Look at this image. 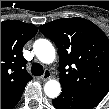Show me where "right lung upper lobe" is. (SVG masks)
<instances>
[{
	"label": "right lung upper lobe",
	"mask_w": 109,
	"mask_h": 109,
	"mask_svg": "<svg viewBox=\"0 0 109 109\" xmlns=\"http://www.w3.org/2000/svg\"><path fill=\"white\" fill-rule=\"evenodd\" d=\"M37 31L36 26L18 20L1 22V100L31 80L22 49Z\"/></svg>",
	"instance_id": "right-lung-upper-lobe-1"
}]
</instances>
